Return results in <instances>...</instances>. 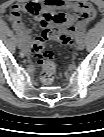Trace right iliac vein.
Wrapping results in <instances>:
<instances>
[{"label": "right iliac vein", "mask_w": 104, "mask_h": 137, "mask_svg": "<svg viewBox=\"0 0 104 137\" xmlns=\"http://www.w3.org/2000/svg\"><path fill=\"white\" fill-rule=\"evenodd\" d=\"M17 37H18V36H17ZM16 44H17V47H18L19 49H24V45H23L22 40L20 39V37L17 38Z\"/></svg>", "instance_id": "63e3f726"}]
</instances>
